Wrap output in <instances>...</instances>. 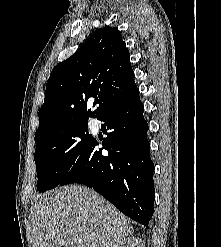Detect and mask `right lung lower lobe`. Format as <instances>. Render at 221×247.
Wrapping results in <instances>:
<instances>
[{
	"label": "right lung lower lobe",
	"mask_w": 221,
	"mask_h": 247,
	"mask_svg": "<svg viewBox=\"0 0 221 247\" xmlns=\"http://www.w3.org/2000/svg\"><path fill=\"white\" fill-rule=\"evenodd\" d=\"M139 89L105 110L98 120L107 134L92 137L59 185L85 184L113 203L123 214L148 228L153 215L154 165L146 137L148 124ZM108 153H103L102 150Z\"/></svg>",
	"instance_id": "1"
}]
</instances>
